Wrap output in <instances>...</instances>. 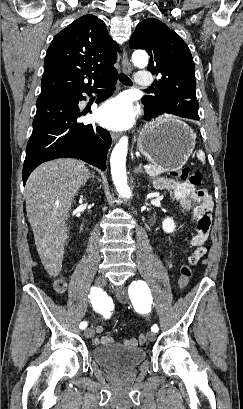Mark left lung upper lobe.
I'll return each mask as SVG.
<instances>
[{
	"instance_id": "1",
	"label": "left lung upper lobe",
	"mask_w": 243,
	"mask_h": 409,
	"mask_svg": "<svg viewBox=\"0 0 243 409\" xmlns=\"http://www.w3.org/2000/svg\"><path fill=\"white\" fill-rule=\"evenodd\" d=\"M129 45L133 49L146 50L150 55L147 69L161 77L154 81V95L142 98L146 109L157 111L191 104L198 110L193 58L177 33L163 22L148 18L138 24Z\"/></svg>"
}]
</instances>
